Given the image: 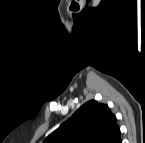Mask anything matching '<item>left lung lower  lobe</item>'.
Here are the masks:
<instances>
[{
	"label": "left lung lower lobe",
	"mask_w": 145,
	"mask_h": 143,
	"mask_svg": "<svg viewBox=\"0 0 145 143\" xmlns=\"http://www.w3.org/2000/svg\"><path fill=\"white\" fill-rule=\"evenodd\" d=\"M118 143H122V142H121V139L118 141Z\"/></svg>",
	"instance_id": "1"
}]
</instances>
